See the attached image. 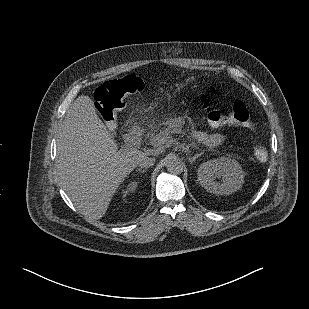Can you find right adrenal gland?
Returning <instances> with one entry per match:
<instances>
[{
  "mask_svg": "<svg viewBox=\"0 0 309 309\" xmlns=\"http://www.w3.org/2000/svg\"><path fill=\"white\" fill-rule=\"evenodd\" d=\"M137 171L140 172V173H145L146 172V170L141 169V168H139Z\"/></svg>",
  "mask_w": 309,
  "mask_h": 309,
  "instance_id": "obj_1",
  "label": "right adrenal gland"
}]
</instances>
